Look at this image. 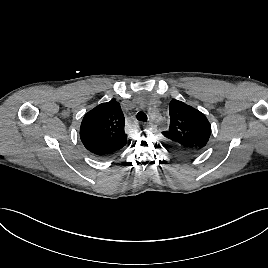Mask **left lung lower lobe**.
<instances>
[{
	"label": "left lung lower lobe",
	"instance_id": "obj_1",
	"mask_svg": "<svg viewBox=\"0 0 268 268\" xmlns=\"http://www.w3.org/2000/svg\"><path fill=\"white\" fill-rule=\"evenodd\" d=\"M177 154L184 156V157H194L198 155L201 151H195V150H190V149H184V148H179L173 146Z\"/></svg>",
	"mask_w": 268,
	"mask_h": 268
}]
</instances>
